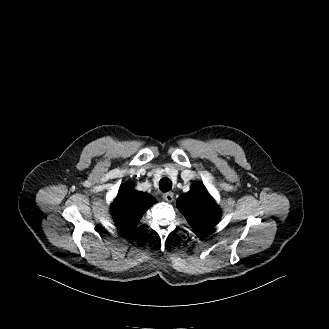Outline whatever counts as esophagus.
I'll list each match as a JSON object with an SVG mask.
<instances>
[{
    "label": "esophagus",
    "instance_id": "1",
    "mask_svg": "<svg viewBox=\"0 0 329 329\" xmlns=\"http://www.w3.org/2000/svg\"><path fill=\"white\" fill-rule=\"evenodd\" d=\"M163 198H164V200L165 201H167V202H173V200H174V194H173V192H167V193H164L163 194Z\"/></svg>",
    "mask_w": 329,
    "mask_h": 329
}]
</instances>
